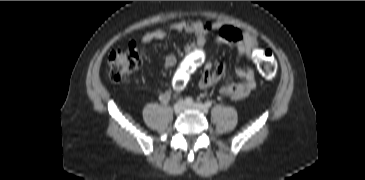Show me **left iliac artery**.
I'll list each match as a JSON object with an SVG mask.
<instances>
[{
    "instance_id": "44dca946",
    "label": "left iliac artery",
    "mask_w": 365,
    "mask_h": 180,
    "mask_svg": "<svg viewBox=\"0 0 365 180\" xmlns=\"http://www.w3.org/2000/svg\"><path fill=\"white\" fill-rule=\"evenodd\" d=\"M205 106H206L207 108L211 107V106H212V102H211V101H207V102L205 103Z\"/></svg>"
}]
</instances>
